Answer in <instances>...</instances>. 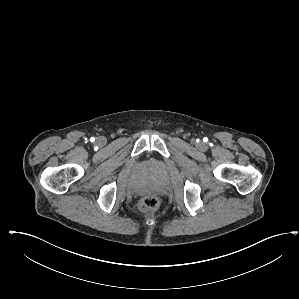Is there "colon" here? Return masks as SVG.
Instances as JSON below:
<instances>
[{
    "label": "colon",
    "instance_id": "5ec220e1",
    "mask_svg": "<svg viewBox=\"0 0 299 299\" xmlns=\"http://www.w3.org/2000/svg\"><path fill=\"white\" fill-rule=\"evenodd\" d=\"M159 204L158 198L153 195L143 197L139 202V209L142 212H151L157 209Z\"/></svg>",
    "mask_w": 299,
    "mask_h": 299
}]
</instances>
